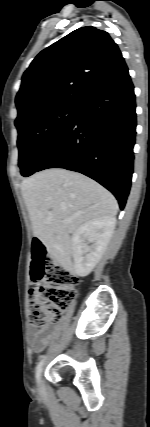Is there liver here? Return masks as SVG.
Segmentation results:
<instances>
[{
    "mask_svg": "<svg viewBox=\"0 0 150 427\" xmlns=\"http://www.w3.org/2000/svg\"><path fill=\"white\" fill-rule=\"evenodd\" d=\"M21 190L34 236L66 268L72 267L70 234L86 222L115 217L118 211V203L108 190L62 168L33 174L22 181Z\"/></svg>",
    "mask_w": 150,
    "mask_h": 427,
    "instance_id": "1",
    "label": "liver"
}]
</instances>
